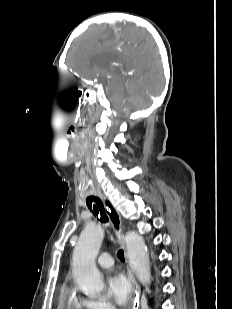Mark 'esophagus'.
<instances>
[{"label":"esophagus","instance_id":"1","mask_svg":"<svg viewBox=\"0 0 232 309\" xmlns=\"http://www.w3.org/2000/svg\"><path fill=\"white\" fill-rule=\"evenodd\" d=\"M100 198L104 203L106 212L108 214L112 227L115 231V234L118 238V241L124 250V255L125 257H127L125 242H124V238L122 234V222H121L120 214L117 211L116 207L112 204V202L109 199H107L103 195H100ZM129 277H130V280L132 281L133 291H134V299H133L131 309H138V307L141 304L140 286L131 272H129Z\"/></svg>","mask_w":232,"mask_h":309}]
</instances>
